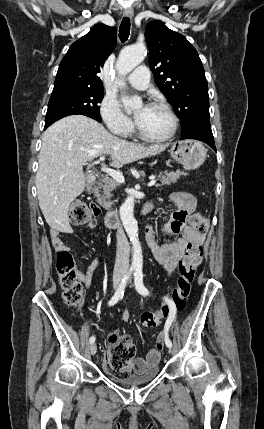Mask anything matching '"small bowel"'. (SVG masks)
<instances>
[{
	"label": "small bowel",
	"instance_id": "obj_1",
	"mask_svg": "<svg viewBox=\"0 0 264 429\" xmlns=\"http://www.w3.org/2000/svg\"><path fill=\"white\" fill-rule=\"evenodd\" d=\"M170 198L177 207V210L173 213L169 222L163 226L160 232L152 227L145 229V239L152 251L153 257L164 268L167 275H171L174 272L189 246L201 244L203 240V234L187 224V218L196 209V198L191 193L182 191L172 193ZM95 227L96 220H90L88 228L94 229ZM65 232L70 233L71 228L68 227ZM51 237L56 250H67V246L60 238L59 231L53 230ZM160 239L163 242H160ZM98 267L99 265L93 262L88 266L86 271L78 274L79 280L87 289L91 286L92 273ZM122 318L125 321L129 319L127 310L123 311ZM160 335H163V333ZM108 354L109 351L105 353L104 358ZM159 360L160 350L158 348H151L145 358L138 357L132 360L130 372L144 373L149 368L157 366ZM102 365L104 368V361Z\"/></svg>",
	"mask_w": 264,
	"mask_h": 429
}]
</instances>
